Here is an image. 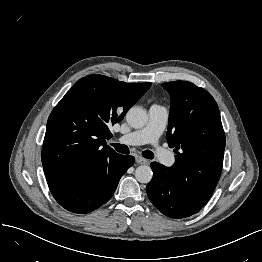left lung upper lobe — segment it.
<instances>
[{"mask_svg":"<svg viewBox=\"0 0 262 262\" xmlns=\"http://www.w3.org/2000/svg\"><path fill=\"white\" fill-rule=\"evenodd\" d=\"M162 86L171 96L167 139L176 153L171 179L204 206L223 165L226 140L218 105L209 92L190 82Z\"/></svg>","mask_w":262,"mask_h":262,"instance_id":"5c2ea615","label":"left lung upper lobe"}]
</instances>
